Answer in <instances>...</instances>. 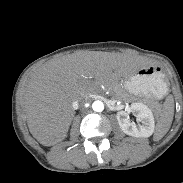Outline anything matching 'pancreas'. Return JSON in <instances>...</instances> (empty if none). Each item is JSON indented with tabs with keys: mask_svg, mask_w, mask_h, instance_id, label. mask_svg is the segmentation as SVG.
I'll return each mask as SVG.
<instances>
[{
	"mask_svg": "<svg viewBox=\"0 0 183 183\" xmlns=\"http://www.w3.org/2000/svg\"><path fill=\"white\" fill-rule=\"evenodd\" d=\"M118 95L122 96L124 98H129L130 97V95L125 90H122V89H120V91L118 92Z\"/></svg>",
	"mask_w": 183,
	"mask_h": 183,
	"instance_id": "pancreas-1",
	"label": "pancreas"
}]
</instances>
